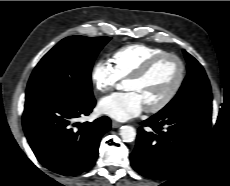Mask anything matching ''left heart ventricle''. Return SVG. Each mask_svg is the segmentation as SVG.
I'll return each mask as SVG.
<instances>
[{
    "label": "left heart ventricle",
    "instance_id": "obj_1",
    "mask_svg": "<svg viewBox=\"0 0 230 186\" xmlns=\"http://www.w3.org/2000/svg\"><path fill=\"white\" fill-rule=\"evenodd\" d=\"M179 66L173 59H164L151 72L139 81H126L124 89L134 92L140 98L144 108L159 102L174 85Z\"/></svg>",
    "mask_w": 230,
    "mask_h": 186
}]
</instances>
